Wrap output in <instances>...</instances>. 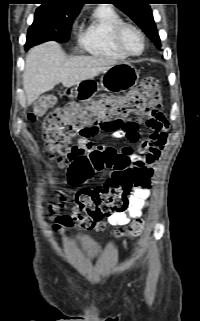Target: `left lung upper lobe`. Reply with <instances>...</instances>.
Here are the masks:
<instances>
[{"label":"left lung upper lobe","instance_id":"obj_1","mask_svg":"<svg viewBox=\"0 0 200 321\" xmlns=\"http://www.w3.org/2000/svg\"><path fill=\"white\" fill-rule=\"evenodd\" d=\"M151 0H110L127 14L160 48V38L149 6Z\"/></svg>","mask_w":200,"mask_h":321}]
</instances>
